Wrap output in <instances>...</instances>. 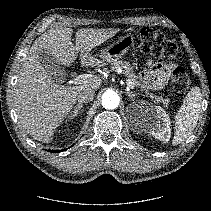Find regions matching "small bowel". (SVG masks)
Listing matches in <instances>:
<instances>
[{
    "instance_id": "small-bowel-1",
    "label": "small bowel",
    "mask_w": 211,
    "mask_h": 211,
    "mask_svg": "<svg viewBox=\"0 0 211 211\" xmlns=\"http://www.w3.org/2000/svg\"><path fill=\"white\" fill-rule=\"evenodd\" d=\"M172 69L173 66L170 64L149 60L146 62L144 71L140 75V80L147 88L163 90L166 87Z\"/></svg>"
}]
</instances>
